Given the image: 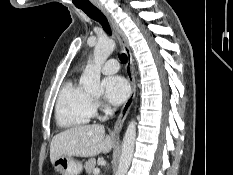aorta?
<instances>
[{
    "instance_id": "aorta-1",
    "label": "aorta",
    "mask_w": 233,
    "mask_h": 175,
    "mask_svg": "<svg viewBox=\"0 0 233 175\" xmlns=\"http://www.w3.org/2000/svg\"><path fill=\"white\" fill-rule=\"evenodd\" d=\"M115 48V42L111 39L99 40L93 53V61L88 63L82 76L81 83L86 92L100 91L101 68ZM136 139V122L132 120L125 132L122 144V152L116 175H126L130 167L134 153Z\"/></svg>"
}]
</instances>
